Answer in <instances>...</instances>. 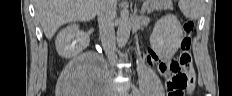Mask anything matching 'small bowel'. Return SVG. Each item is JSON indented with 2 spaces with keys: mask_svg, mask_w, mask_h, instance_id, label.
<instances>
[{
  "mask_svg": "<svg viewBox=\"0 0 232 96\" xmlns=\"http://www.w3.org/2000/svg\"><path fill=\"white\" fill-rule=\"evenodd\" d=\"M150 14L151 15H148V20H155V15H154L155 13L152 11ZM148 25L151 27L153 24L150 22ZM156 59L157 58H156L155 54H149L146 57V62L150 66L153 65L154 63H156L157 68L161 74H163V68H171V63L156 62ZM185 73L187 74V76L190 79L189 87L193 88L195 86V73H194L193 67L191 65L188 66L185 69Z\"/></svg>",
  "mask_w": 232,
  "mask_h": 96,
  "instance_id": "c3829d8e",
  "label": "small bowel"
}]
</instances>
